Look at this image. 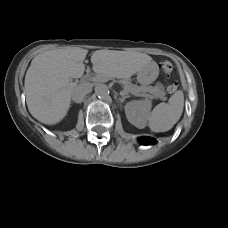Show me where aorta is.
Masks as SVG:
<instances>
[{"mask_svg": "<svg viewBox=\"0 0 228 228\" xmlns=\"http://www.w3.org/2000/svg\"><path fill=\"white\" fill-rule=\"evenodd\" d=\"M95 94L100 99H107L109 97V90L103 84H98L95 86Z\"/></svg>", "mask_w": 228, "mask_h": 228, "instance_id": "aorta-1", "label": "aorta"}]
</instances>
